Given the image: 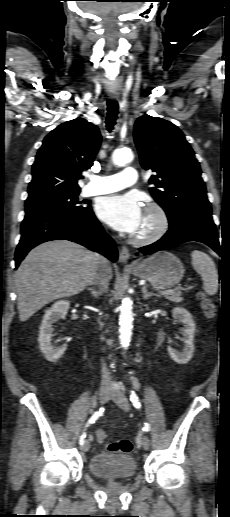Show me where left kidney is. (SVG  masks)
Wrapping results in <instances>:
<instances>
[{"mask_svg": "<svg viewBox=\"0 0 230 517\" xmlns=\"http://www.w3.org/2000/svg\"><path fill=\"white\" fill-rule=\"evenodd\" d=\"M172 315L175 319H178L184 325L182 334L184 336V347L182 351H177L171 347H168L170 357L178 364H186L190 361L194 352V333L196 330L195 323L192 319V315L184 308L177 307L173 309Z\"/></svg>", "mask_w": 230, "mask_h": 517, "instance_id": "1", "label": "left kidney"}]
</instances>
